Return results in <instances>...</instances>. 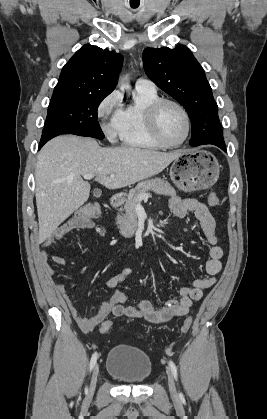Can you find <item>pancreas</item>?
Instances as JSON below:
<instances>
[{"label":"pancreas","instance_id":"pancreas-1","mask_svg":"<svg viewBox=\"0 0 267 419\" xmlns=\"http://www.w3.org/2000/svg\"><path fill=\"white\" fill-rule=\"evenodd\" d=\"M154 191L157 194L165 196H175V189L164 179L153 178L144 180L130 190L128 198L123 208L119 209L116 218V224L120 229V233L125 237H130L137 229V213L136 207L140 203L139 196L148 194V191ZM125 213H122V212Z\"/></svg>","mask_w":267,"mask_h":419}]
</instances>
